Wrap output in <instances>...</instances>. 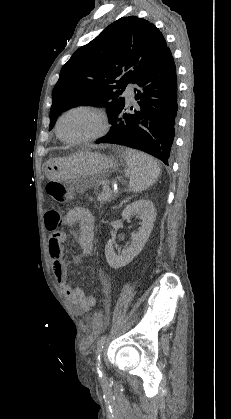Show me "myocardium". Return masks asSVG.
<instances>
[{"label": "myocardium", "mask_w": 231, "mask_h": 419, "mask_svg": "<svg viewBox=\"0 0 231 419\" xmlns=\"http://www.w3.org/2000/svg\"><path fill=\"white\" fill-rule=\"evenodd\" d=\"M75 111H85V112L94 114L98 118L99 123H100V127L98 131L83 138L68 139V138L63 137L60 133L61 121L67 114L71 112H75ZM108 128H109V122H108V117L106 113L100 108H97L94 106H88V105H79V106H74L67 109L59 116L56 122V126H55L57 136L62 141L66 143H70V144H83V143H89V142L95 141L101 138L103 135H105L106 132L108 131Z\"/></svg>", "instance_id": "obj_1"}]
</instances>
